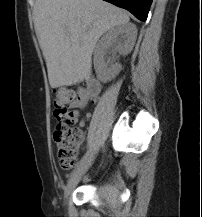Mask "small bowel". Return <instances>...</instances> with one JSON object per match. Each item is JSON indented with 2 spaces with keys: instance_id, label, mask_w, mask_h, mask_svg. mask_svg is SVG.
Returning a JSON list of instances; mask_svg holds the SVG:
<instances>
[{
  "instance_id": "c3829d8e",
  "label": "small bowel",
  "mask_w": 202,
  "mask_h": 217,
  "mask_svg": "<svg viewBox=\"0 0 202 217\" xmlns=\"http://www.w3.org/2000/svg\"><path fill=\"white\" fill-rule=\"evenodd\" d=\"M80 93L82 94V99L78 103H76L75 105L72 106V110H71L70 116H69L70 121L73 123L78 122V117H79V111L78 110L84 108L88 104L89 100L95 101V99L98 96V94L90 95L85 90H80ZM90 118H91L90 113L85 114L83 119L79 121V125L81 127L84 126L85 122L87 120H89Z\"/></svg>"
}]
</instances>
